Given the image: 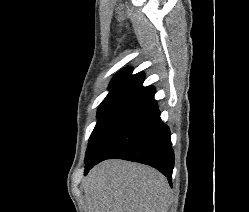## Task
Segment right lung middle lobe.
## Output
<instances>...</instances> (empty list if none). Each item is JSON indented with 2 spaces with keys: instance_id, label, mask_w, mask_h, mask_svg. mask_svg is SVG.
<instances>
[{
  "instance_id": "1",
  "label": "right lung middle lobe",
  "mask_w": 249,
  "mask_h": 212,
  "mask_svg": "<svg viewBox=\"0 0 249 212\" xmlns=\"http://www.w3.org/2000/svg\"><path fill=\"white\" fill-rule=\"evenodd\" d=\"M133 95H109L106 96L98 109V121L89 139L85 161L91 156L97 143L104 135L108 127L120 115V113L133 101Z\"/></svg>"
}]
</instances>
